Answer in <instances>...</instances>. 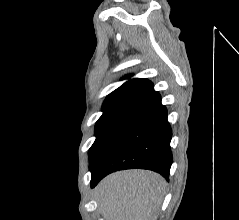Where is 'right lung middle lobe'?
Segmentation results:
<instances>
[{"mask_svg": "<svg viewBox=\"0 0 239 220\" xmlns=\"http://www.w3.org/2000/svg\"><path fill=\"white\" fill-rule=\"evenodd\" d=\"M130 109L131 107H121L105 111L97 121L95 127L96 140L89 149L90 170H93L97 165L104 150L120 127L126 115L129 113Z\"/></svg>", "mask_w": 239, "mask_h": 220, "instance_id": "1", "label": "right lung middle lobe"}]
</instances>
